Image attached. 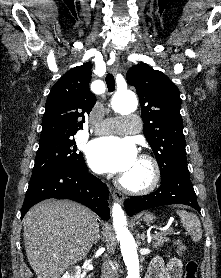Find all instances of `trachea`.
<instances>
[{"instance_id":"trachea-1","label":"trachea","mask_w":221,"mask_h":278,"mask_svg":"<svg viewBox=\"0 0 221 278\" xmlns=\"http://www.w3.org/2000/svg\"><path fill=\"white\" fill-rule=\"evenodd\" d=\"M105 80H106L108 92H113L115 90L114 76L111 73H108Z\"/></svg>"}]
</instances>
